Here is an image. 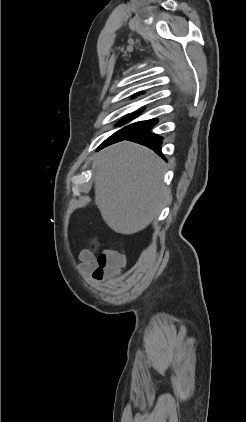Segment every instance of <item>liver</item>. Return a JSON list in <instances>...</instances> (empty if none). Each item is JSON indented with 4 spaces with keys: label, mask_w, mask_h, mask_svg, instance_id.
<instances>
[{
    "label": "liver",
    "mask_w": 246,
    "mask_h": 422,
    "mask_svg": "<svg viewBox=\"0 0 246 422\" xmlns=\"http://www.w3.org/2000/svg\"><path fill=\"white\" fill-rule=\"evenodd\" d=\"M95 204L113 231L130 235L145 229L159 214L168 189L164 161L150 149L123 141L94 159Z\"/></svg>",
    "instance_id": "1"
}]
</instances>
